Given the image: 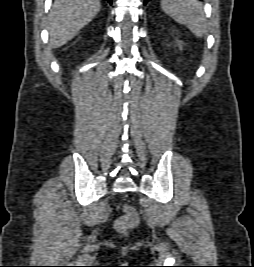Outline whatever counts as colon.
<instances>
[{
  "label": "colon",
  "mask_w": 254,
  "mask_h": 267,
  "mask_svg": "<svg viewBox=\"0 0 254 267\" xmlns=\"http://www.w3.org/2000/svg\"><path fill=\"white\" fill-rule=\"evenodd\" d=\"M124 214L116 220V229L125 233L129 229L133 228L138 224L139 216L137 211L130 205H124Z\"/></svg>",
  "instance_id": "colon-1"
}]
</instances>
